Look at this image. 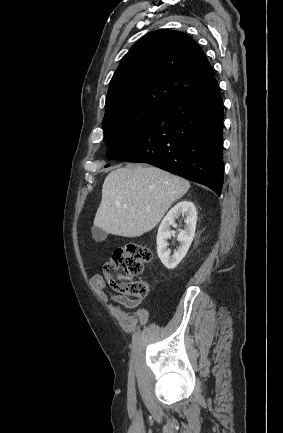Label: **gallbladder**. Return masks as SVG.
I'll return each mask as SVG.
<instances>
[{"label":"gallbladder","instance_id":"gallbladder-1","mask_svg":"<svg viewBox=\"0 0 283 433\" xmlns=\"http://www.w3.org/2000/svg\"><path fill=\"white\" fill-rule=\"evenodd\" d=\"M92 235L95 241H105L107 239L108 233L102 231V229H98V227H92Z\"/></svg>","mask_w":283,"mask_h":433}]
</instances>
